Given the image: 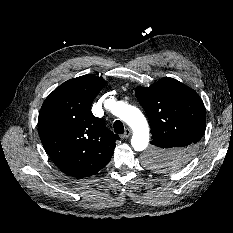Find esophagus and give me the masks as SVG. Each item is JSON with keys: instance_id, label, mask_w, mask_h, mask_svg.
<instances>
[{"instance_id": "34e87169", "label": "esophagus", "mask_w": 233, "mask_h": 233, "mask_svg": "<svg viewBox=\"0 0 233 233\" xmlns=\"http://www.w3.org/2000/svg\"><path fill=\"white\" fill-rule=\"evenodd\" d=\"M131 135V130L129 129V128H127V129H125V132H124V134H122V138L123 139H126V138H128L129 136Z\"/></svg>"}]
</instances>
